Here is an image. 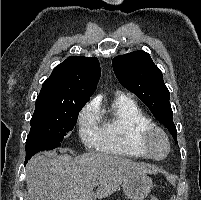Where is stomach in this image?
<instances>
[{
	"mask_svg": "<svg viewBox=\"0 0 201 200\" xmlns=\"http://www.w3.org/2000/svg\"><path fill=\"white\" fill-rule=\"evenodd\" d=\"M125 195L132 200H143L152 189V180L147 174L128 177L123 182Z\"/></svg>",
	"mask_w": 201,
	"mask_h": 200,
	"instance_id": "1",
	"label": "stomach"
}]
</instances>
